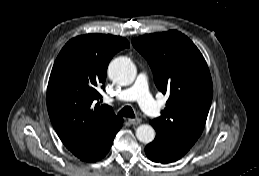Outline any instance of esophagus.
I'll use <instances>...</instances> for the list:
<instances>
[{
  "mask_svg": "<svg viewBox=\"0 0 259 176\" xmlns=\"http://www.w3.org/2000/svg\"><path fill=\"white\" fill-rule=\"evenodd\" d=\"M128 121L132 125H138L142 122V120L140 118H130V119H128Z\"/></svg>",
  "mask_w": 259,
  "mask_h": 176,
  "instance_id": "34e87169",
  "label": "esophagus"
}]
</instances>
